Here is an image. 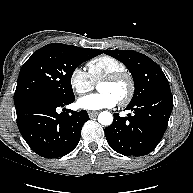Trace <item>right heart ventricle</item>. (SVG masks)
I'll list each match as a JSON object with an SVG mask.
<instances>
[{
    "label": "right heart ventricle",
    "mask_w": 193,
    "mask_h": 193,
    "mask_svg": "<svg viewBox=\"0 0 193 193\" xmlns=\"http://www.w3.org/2000/svg\"><path fill=\"white\" fill-rule=\"evenodd\" d=\"M87 67L94 83L99 82L109 74L126 70V66L122 61L109 55H101L90 60Z\"/></svg>",
    "instance_id": "1"
}]
</instances>
